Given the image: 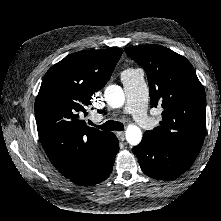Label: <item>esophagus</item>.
<instances>
[{"label":"esophagus","instance_id":"34e87169","mask_svg":"<svg viewBox=\"0 0 221 221\" xmlns=\"http://www.w3.org/2000/svg\"><path fill=\"white\" fill-rule=\"evenodd\" d=\"M116 135H117V137H118V139H119L120 141H124V140H125V134H124V132H116Z\"/></svg>","mask_w":221,"mask_h":221}]
</instances>
